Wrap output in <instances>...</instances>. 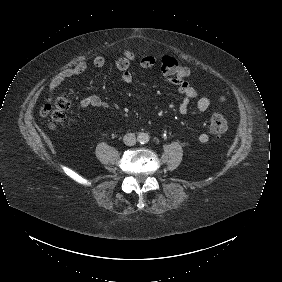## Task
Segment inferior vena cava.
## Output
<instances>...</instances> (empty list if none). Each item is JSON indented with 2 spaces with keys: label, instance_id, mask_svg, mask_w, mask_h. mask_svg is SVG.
Listing matches in <instances>:
<instances>
[{
  "label": "inferior vena cava",
  "instance_id": "inferior-vena-cava-1",
  "mask_svg": "<svg viewBox=\"0 0 282 282\" xmlns=\"http://www.w3.org/2000/svg\"><path fill=\"white\" fill-rule=\"evenodd\" d=\"M123 142L127 146H134L136 144V136L134 133H127L123 137Z\"/></svg>",
  "mask_w": 282,
  "mask_h": 282
}]
</instances>
